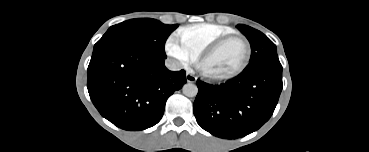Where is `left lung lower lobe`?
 <instances>
[{"instance_id": "0a47b994", "label": "left lung lower lobe", "mask_w": 369, "mask_h": 152, "mask_svg": "<svg viewBox=\"0 0 369 152\" xmlns=\"http://www.w3.org/2000/svg\"><path fill=\"white\" fill-rule=\"evenodd\" d=\"M193 111L201 128L236 139L258 130L274 112L282 90V68L240 73L219 85L197 80Z\"/></svg>"}]
</instances>
